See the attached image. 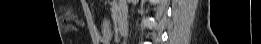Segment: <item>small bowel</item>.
<instances>
[{
	"instance_id": "obj_1",
	"label": "small bowel",
	"mask_w": 261,
	"mask_h": 44,
	"mask_svg": "<svg viewBox=\"0 0 261 44\" xmlns=\"http://www.w3.org/2000/svg\"><path fill=\"white\" fill-rule=\"evenodd\" d=\"M120 9H123L124 11H126V9H125V3H124V2H120V3L118 4V7H117L118 12H119Z\"/></svg>"
}]
</instances>
